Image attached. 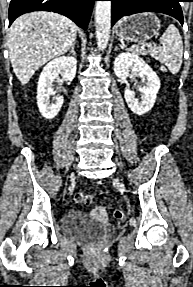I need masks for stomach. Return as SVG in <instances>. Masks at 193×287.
Instances as JSON below:
<instances>
[{
  "label": "stomach",
  "instance_id": "stomach-1",
  "mask_svg": "<svg viewBox=\"0 0 193 287\" xmlns=\"http://www.w3.org/2000/svg\"><path fill=\"white\" fill-rule=\"evenodd\" d=\"M160 20L153 13H139L121 20L116 34L129 42L142 43L158 34Z\"/></svg>",
  "mask_w": 193,
  "mask_h": 287
}]
</instances>
